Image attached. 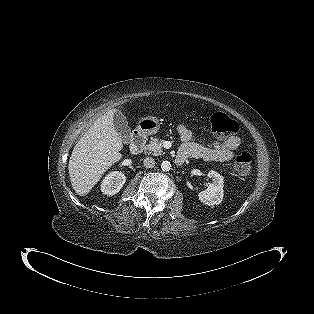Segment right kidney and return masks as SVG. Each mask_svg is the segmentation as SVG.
<instances>
[{
    "label": "right kidney",
    "instance_id": "1",
    "mask_svg": "<svg viewBox=\"0 0 314 314\" xmlns=\"http://www.w3.org/2000/svg\"><path fill=\"white\" fill-rule=\"evenodd\" d=\"M125 182L126 177L122 172H111L103 179L101 191L109 196L115 195L120 191Z\"/></svg>",
    "mask_w": 314,
    "mask_h": 314
}]
</instances>
